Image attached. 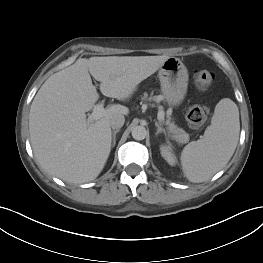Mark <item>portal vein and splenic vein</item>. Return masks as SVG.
<instances>
[{
	"label": "portal vein and splenic vein",
	"mask_w": 263,
	"mask_h": 263,
	"mask_svg": "<svg viewBox=\"0 0 263 263\" xmlns=\"http://www.w3.org/2000/svg\"><path fill=\"white\" fill-rule=\"evenodd\" d=\"M106 113V109L104 108V103L103 102H99L98 104H96L93 108V112L90 114V116L88 117V122L89 123H93L94 121L102 118L104 116V114ZM158 120L160 122H164V113L162 110H160L158 112V116H157Z\"/></svg>",
	"instance_id": "1"
}]
</instances>
